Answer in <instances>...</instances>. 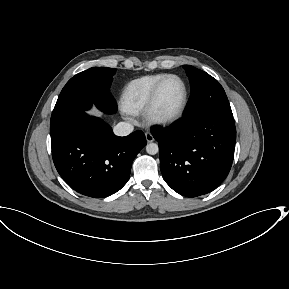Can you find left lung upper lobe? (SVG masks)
<instances>
[{
	"label": "left lung upper lobe",
	"instance_id": "1",
	"mask_svg": "<svg viewBox=\"0 0 289 289\" xmlns=\"http://www.w3.org/2000/svg\"><path fill=\"white\" fill-rule=\"evenodd\" d=\"M183 67L189 76L192 89L184 117L203 111L233 115L226 93L216 79L191 65Z\"/></svg>",
	"mask_w": 289,
	"mask_h": 289
}]
</instances>
